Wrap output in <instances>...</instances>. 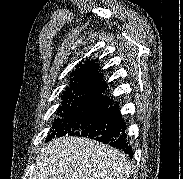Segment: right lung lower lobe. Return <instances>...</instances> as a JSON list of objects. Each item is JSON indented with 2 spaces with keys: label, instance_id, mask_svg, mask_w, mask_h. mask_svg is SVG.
Instances as JSON below:
<instances>
[{
  "label": "right lung lower lobe",
  "instance_id": "right-lung-lower-lobe-1",
  "mask_svg": "<svg viewBox=\"0 0 183 179\" xmlns=\"http://www.w3.org/2000/svg\"><path fill=\"white\" fill-rule=\"evenodd\" d=\"M108 106L100 118L93 124L87 126L79 134L108 144L133 157L132 147L125 133V123L120 114L118 103L112 104V99L107 98Z\"/></svg>",
  "mask_w": 183,
  "mask_h": 179
}]
</instances>
